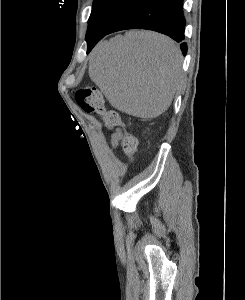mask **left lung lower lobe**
<instances>
[{
    "label": "left lung lower lobe",
    "mask_w": 245,
    "mask_h": 300,
    "mask_svg": "<svg viewBox=\"0 0 245 300\" xmlns=\"http://www.w3.org/2000/svg\"><path fill=\"white\" fill-rule=\"evenodd\" d=\"M182 5L183 0H139L119 16L105 33L95 31L87 37V53L104 36L127 29L153 30L182 42L185 28ZM180 49L185 55L187 44L182 42Z\"/></svg>",
    "instance_id": "obj_1"
}]
</instances>
